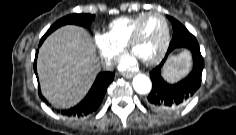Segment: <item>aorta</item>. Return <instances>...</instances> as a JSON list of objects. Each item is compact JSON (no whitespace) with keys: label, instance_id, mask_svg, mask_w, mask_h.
Here are the masks:
<instances>
[{"label":"aorta","instance_id":"obj_1","mask_svg":"<svg viewBox=\"0 0 236 135\" xmlns=\"http://www.w3.org/2000/svg\"><path fill=\"white\" fill-rule=\"evenodd\" d=\"M133 88L139 94L149 93L151 90V81L144 74H138L133 78Z\"/></svg>","mask_w":236,"mask_h":135}]
</instances>
